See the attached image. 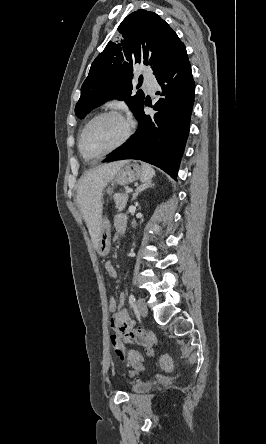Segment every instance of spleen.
<instances>
[{
    "mask_svg": "<svg viewBox=\"0 0 266 444\" xmlns=\"http://www.w3.org/2000/svg\"><path fill=\"white\" fill-rule=\"evenodd\" d=\"M142 169L144 172V175L142 177L143 181H149L155 175L154 169L149 164L143 163Z\"/></svg>",
    "mask_w": 266,
    "mask_h": 444,
    "instance_id": "obj_1",
    "label": "spleen"
}]
</instances>
